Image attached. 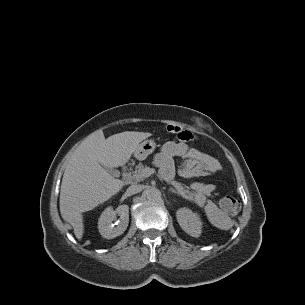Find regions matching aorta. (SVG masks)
<instances>
[{
    "label": "aorta",
    "instance_id": "aorta-1",
    "mask_svg": "<svg viewBox=\"0 0 305 305\" xmlns=\"http://www.w3.org/2000/svg\"><path fill=\"white\" fill-rule=\"evenodd\" d=\"M146 198L151 202H158L161 200V192L157 188H151L146 191Z\"/></svg>",
    "mask_w": 305,
    "mask_h": 305
}]
</instances>
